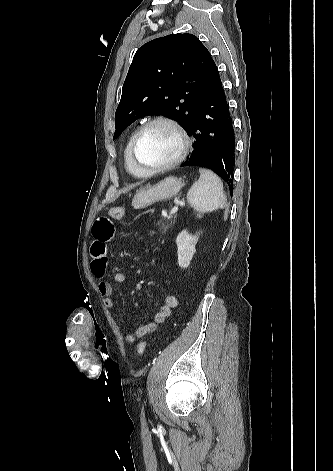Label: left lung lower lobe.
<instances>
[{"label":"left lung lower lobe","mask_w":333,"mask_h":471,"mask_svg":"<svg viewBox=\"0 0 333 471\" xmlns=\"http://www.w3.org/2000/svg\"><path fill=\"white\" fill-rule=\"evenodd\" d=\"M194 148L181 166H201L220 175L233 192L235 137L229 105L217 67L202 94L188 129Z\"/></svg>","instance_id":"left-lung-lower-lobe-1"}]
</instances>
